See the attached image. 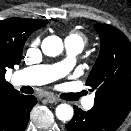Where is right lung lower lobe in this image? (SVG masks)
<instances>
[{
  "mask_svg": "<svg viewBox=\"0 0 131 131\" xmlns=\"http://www.w3.org/2000/svg\"><path fill=\"white\" fill-rule=\"evenodd\" d=\"M36 103L34 96L23 94L7 103L0 113V131H24Z\"/></svg>",
  "mask_w": 131,
  "mask_h": 131,
  "instance_id": "right-lung-lower-lobe-1",
  "label": "right lung lower lobe"
}]
</instances>
